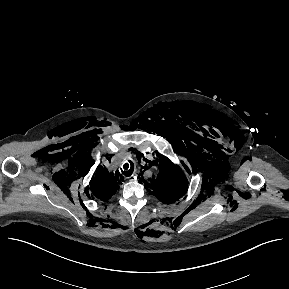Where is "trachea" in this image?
Listing matches in <instances>:
<instances>
[{"mask_svg":"<svg viewBox=\"0 0 289 289\" xmlns=\"http://www.w3.org/2000/svg\"><path fill=\"white\" fill-rule=\"evenodd\" d=\"M123 168H124V170H122V173L125 176L132 175L133 170H134V166H133L132 162H130V165L128 163L124 164Z\"/></svg>","mask_w":289,"mask_h":289,"instance_id":"1","label":"trachea"}]
</instances>
